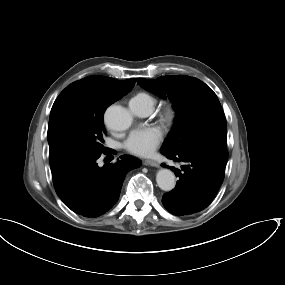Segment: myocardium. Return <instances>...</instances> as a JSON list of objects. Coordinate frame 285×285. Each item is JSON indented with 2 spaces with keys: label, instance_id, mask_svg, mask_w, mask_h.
Returning <instances> with one entry per match:
<instances>
[{
  "label": "myocardium",
  "instance_id": "1",
  "mask_svg": "<svg viewBox=\"0 0 285 285\" xmlns=\"http://www.w3.org/2000/svg\"><path fill=\"white\" fill-rule=\"evenodd\" d=\"M161 121L166 125H172L176 118V112L172 106H166L162 109L160 115Z\"/></svg>",
  "mask_w": 285,
  "mask_h": 285
}]
</instances>
